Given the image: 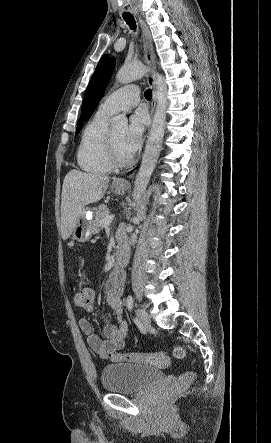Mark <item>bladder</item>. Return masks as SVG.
Segmentation results:
<instances>
[{
  "instance_id": "31cf9c89",
  "label": "bladder",
  "mask_w": 271,
  "mask_h": 443,
  "mask_svg": "<svg viewBox=\"0 0 271 443\" xmlns=\"http://www.w3.org/2000/svg\"><path fill=\"white\" fill-rule=\"evenodd\" d=\"M163 378L155 367L135 363H113L101 372V383L107 392L131 394L144 391Z\"/></svg>"
}]
</instances>
